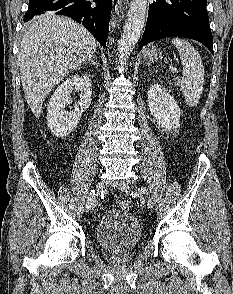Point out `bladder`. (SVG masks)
<instances>
[{
	"label": "bladder",
	"mask_w": 233,
	"mask_h": 294,
	"mask_svg": "<svg viewBox=\"0 0 233 294\" xmlns=\"http://www.w3.org/2000/svg\"><path fill=\"white\" fill-rule=\"evenodd\" d=\"M95 237L104 250L114 254H127L139 245L141 226L129 211L113 209L99 220Z\"/></svg>",
	"instance_id": "obj_1"
}]
</instances>
